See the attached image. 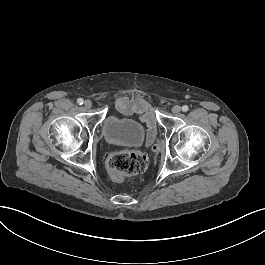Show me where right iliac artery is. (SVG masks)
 I'll list each match as a JSON object with an SVG mask.
<instances>
[{
  "mask_svg": "<svg viewBox=\"0 0 265 265\" xmlns=\"http://www.w3.org/2000/svg\"><path fill=\"white\" fill-rule=\"evenodd\" d=\"M77 103H78L79 105H82V104L84 103V100H83L82 98H79V99L77 100Z\"/></svg>",
  "mask_w": 265,
  "mask_h": 265,
  "instance_id": "right-iliac-artery-1",
  "label": "right iliac artery"
}]
</instances>
